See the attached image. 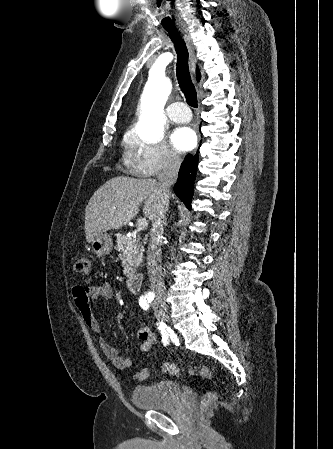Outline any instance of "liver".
<instances>
[{"instance_id":"obj_1","label":"liver","mask_w":333,"mask_h":449,"mask_svg":"<svg viewBox=\"0 0 333 449\" xmlns=\"http://www.w3.org/2000/svg\"><path fill=\"white\" fill-rule=\"evenodd\" d=\"M161 198L156 180L114 177L104 183L90 198L85 210V234L91 243L100 234L127 225L139 212L153 221Z\"/></svg>"}]
</instances>
